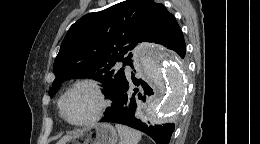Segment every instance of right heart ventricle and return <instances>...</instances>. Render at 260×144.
Returning a JSON list of instances; mask_svg holds the SVG:
<instances>
[{"label":"right heart ventricle","instance_id":"e07e8e85","mask_svg":"<svg viewBox=\"0 0 260 144\" xmlns=\"http://www.w3.org/2000/svg\"><path fill=\"white\" fill-rule=\"evenodd\" d=\"M60 100H61V98H60ZM60 100H59V102H58V106L60 105Z\"/></svg>","mask_w":260,"mask_h":144}]
</instances>
